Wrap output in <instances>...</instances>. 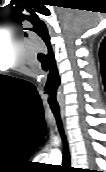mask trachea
I'll use <instances>...</instances> for the list:
<instances>
[{"label": "trachea", "instance_id": "1", "mask_svg": "<svg viewBox=\"0 0 106 172\" xmlns=\"http://www.w3.org/2000/svg\"><path fill=\"white\" fill-rule=\"evenodd\" d=\"M51 109H52V112H53V114H54V116L56 118L58 129H59L60 135H61L63 143H64L63 163H64L65 166H68L70 164V157H69V153H68L66 138H65V135H64L63 127H62V122H61V119H60L59 108L51 107Z\"/></svg>", "mask_w": 106, "mask_h": 172}]
</instances>
